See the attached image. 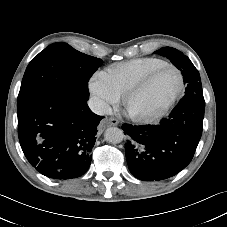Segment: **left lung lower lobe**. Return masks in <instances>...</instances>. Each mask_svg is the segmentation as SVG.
I'll list each match as a JSON object with an SVG mask.
<instances>
[{
	"mask_svg": "<svg viewBox=\"0 0 227 227\" xmlns=\"http://www.w3.org/2000/svg\"><path fill=\"white\" fill-rule=\"evenodd\" d=\"M204 107L176 106L159 125L123 124L128 135L125 154L133 176L143 181H159L183 170L201 138Z\"/></svg>",
	"mask_w": 227,
	"mask_h": 227,
	"instance_id": "left-lung-lower-lobe-1",
	"label": "left lung lower lobe"
}]
</instances>
